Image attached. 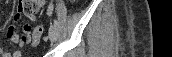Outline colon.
<instances>
[{
	"mask_svg": "<svg viewBox=\"0 0 172 57\" xmlns=\"http://www.w3.org/2000/svg\"><path fill=\"white\" fill-rule=\"evenodd\" d=\"M34 30H35V32H37V33H42L43 27H42V26H37Z\"/></svg>",
	"mask_w": 172,
	"mask_h": 57,
	"instance_id": "5ec220e1",
	"label": "colon"
}]
</instances>
